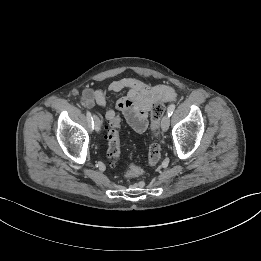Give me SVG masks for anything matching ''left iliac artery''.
I'll use <instances>...</instances> for the list:
<instances>
[{
    "instance_id": "1",
    "label": "left iliac artery",
    "mask_w": 261,
    "mask_h": 261,
    "mask_svg": "<svg viewBox=\"0 0 261 261\" xmlns=\"http://www.w3.org/2000/svg\"><path fill=\"white\" fill-rule=\"evenodd\" d=\"M174 110H175V104L169 105L167 109V115L170 117L173 114Z\"/></svg>"
}]
</instances>
